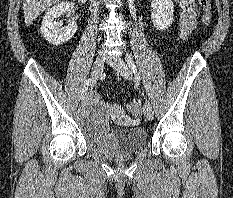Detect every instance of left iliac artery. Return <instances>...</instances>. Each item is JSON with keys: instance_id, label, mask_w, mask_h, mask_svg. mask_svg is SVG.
Here are the masks:
<instances>
[{"instance_id": "obj_1", "label": "left iliac artery", "mask_w": 233, "mask_h": 198, "mask_svg": "<svg viewBox=\"0 0 233 198\" xmlns=\"http://www.w3.org/2000/svg\"><path fill=\"white\" fill-rule=\"evenodd\" d=\"M126 61H127L128 65H129V67L131 68V70L133 71V73L135 75H137L138 74L137 67L135 65V62H134L133 57H132L131 54L127 53Z\"/></svg>"}]
</instances>
